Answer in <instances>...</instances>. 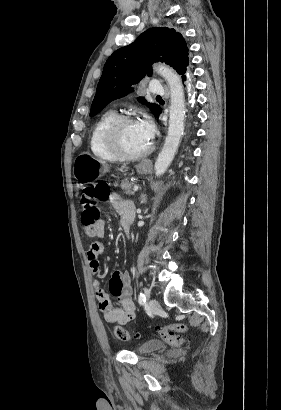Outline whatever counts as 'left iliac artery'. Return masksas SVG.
Segmentation results:
<instances>
[{"mask_svg": "<svg viewBox=\"0 0 281 410\" xmlns=\"http://www.w3.org/2000/svg\"><path fill=\"white\" fill-rule=\"evenodd\" d=\"M138 302L139 304L143 305L146 303V295L144 292H140L138 296Z\"/></svg>", "mask_w": 281, "mask_h": 410, "instance_id": "44dca946", "label": "left iliac artery"}]
</instances>
